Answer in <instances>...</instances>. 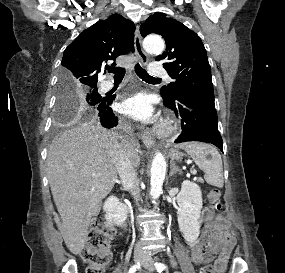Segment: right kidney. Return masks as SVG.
<instances>
[{"instance_id": "right-kidney-1", "label": "right kidney", "mask_w": 285, "mask_h": 273, "mask_svg": "<svg viewBox=\"0 0 285 273\" xmlns=\"http://www.w3.org/2000/svg\"><path fill=\"white\" fill-rule=\"evenodd\" d=\"M103 210L106 213L105 218L109 224L121 225L127 219L128 207L115 196H110L105 201Z\"/></svg>"}]
</instances>
